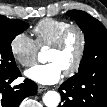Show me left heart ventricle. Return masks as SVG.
I'll return each instance as SVG.
<instances>
[{
	"mask_svg": "<svg viewBox=\"0 0 107 107\" xmlns=\"http://www.w3.org/2000/svg\"><path fill=\"white\" fill-rule=\"evenodd\" d=\"M79 48V37L73 33L68 38L66 44L60 50L50 49L48 53V61L57 62L63 71L68 69L74 62Z\"/></svg>",
	"mask_w": 107,
	"mask_h": 107,
	"instance_id": "b2bd125f",
	"label": "left heart ventricle"
}]
</instances>
